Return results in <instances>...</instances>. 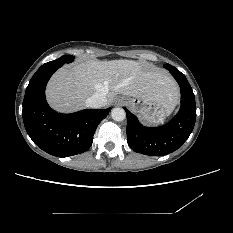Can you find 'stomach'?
I'll return each mask as SVG.
<instances>
[{
	"label": "stomach",
	"instance_id": "stomach-1",
	"mask_svg": "<svg viewBox=\"0 0 233 233\" xmlns=\"http://www.w3.org/2000/svg\"><path fill=\"white\" fill-rule=\"evenodd\" d=\"M128 106L133 112L139 113L149 124L162 123L174 109L155 100L140 98L128 99Z\"/></svg>",
	"mask_w": 233,
	"mask_h": 233
}]
</instances>
